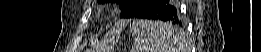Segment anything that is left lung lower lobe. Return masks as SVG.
Here are the masks:
<instances>
[{
    "mask_svg": "<svg viewBox=\"0 0 261 52\" xmlns=\"http://www.w3.org/2000/svg\"><path fill=\"white\" fill-rule=\"evenodd\" d=\"M137 18L159 19L170 23L171 33L176 34V28L172 24L178 25V16L175 7L169 4L168 0H154L146 7Z\"/></svg>",
    "mask_w": 261,
    "mask_h": 52,
    "instance_id": "left-lung-lower-lobe-1",
    "label": "left lung lower lobe"
}]
</instances>
